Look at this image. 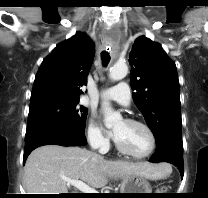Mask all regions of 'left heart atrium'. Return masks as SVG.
<instances>
[{
	"label": "left heart atrium",
	"mask_w": 208,
	"mask_h": 198,
	"mask_svg": "<svg viewBox=\"0 0 208 198\" xmlns=\"http://www.w3.org/2000/svg\"><path fill=\"white\" fill-rule=\"evenodd\" d=\"M111 135H112L114 138H116V131L113 130V131L111 132Z\"/></svg>",
	"instance_id": "39dd6f15"
}]
</instances>
